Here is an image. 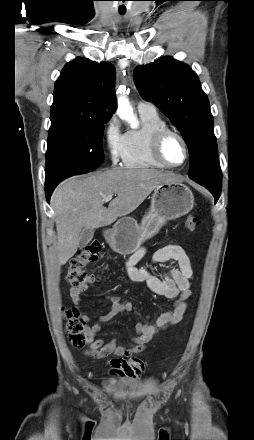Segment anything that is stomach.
Segmentation results:
<instances>
[{
    "mask_svg": "<svg viewBox=\"0 0 254 440\" xmlns=\"http://www.w3.org/2000/svg\"><path fill=\"white\" fill-rule=\"evenodd\" d=\"M193 206V193L185 184L179 181L162 183L155 188L150 209L140 224L131 217H122L104 232V237L115 252L130 255L146 239L158 233L167 221L189 213Z\"/></svg>",
    "mask_w": 254,
    "mask_h": 440,
    "instance_id": "stomach-1",
    "label": "stomach"
}]
</instances>
